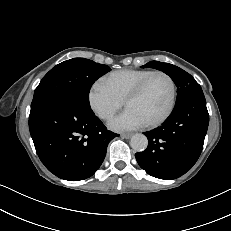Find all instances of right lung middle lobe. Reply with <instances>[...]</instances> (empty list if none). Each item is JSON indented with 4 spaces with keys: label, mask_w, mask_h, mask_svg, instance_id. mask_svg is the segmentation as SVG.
Returning <instances> with one entry per match:
<instances>
[{
    "label": "right lung middle lobe",
    "mask_w": 231,
    "mask_h": 231,
    "mask_svg": "<svg viewBox=\"0 0 231 231\" xmlns=\"http://www.w3.org/2000/svg\"><path fill=\"white\" fill-rule=\"evenodd\" d=\"M110 70L107 65L85 58H73L56 65L35 89L30 113L60 96L75 98L89 106L91 86Z\"/></svg>",
    "instance_id": "1"
}]
</instances>
